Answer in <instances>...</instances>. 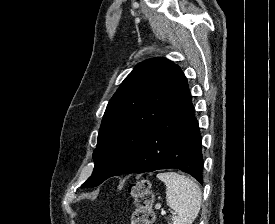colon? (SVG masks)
Returning <instances> with one entry per match:
<instances>
[{"label": "colon", "instance_id": "obj_1", "mask_svg": "<svg viewBox=\"0 0 275 224\" xmlns=\"http://www.w3.org/2000/svg\"><path fill=\"white\" fill-rule=\"evenodd\" d=\"M129 192L135 204V210L131 215V224H152L154 195L150 182L146 179L137 181L129 187Z\"/></svg>", "mask_w": 275, "mask_h": 224}]
</instances>
